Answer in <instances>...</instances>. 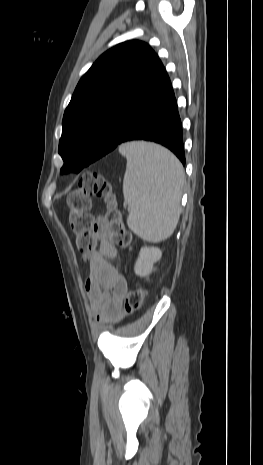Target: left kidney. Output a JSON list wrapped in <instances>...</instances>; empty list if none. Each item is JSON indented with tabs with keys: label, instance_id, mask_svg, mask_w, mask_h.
<instances>
[{
	"label": "left kidney",
	"instance_id": "1",
	"mask_svg": "<svg viewBox=\"0 0 263 465\" xmlns=\"http://www.w3.org/2000/svg\"><path fill=\"white\" fill-rule=\"evenodd\" d=\"M161 251L156 247H142L136 261L134 271L144 277L151 273L153 264L161 258Z\"/></svg>",
	"mask_w": 263,
	"mask_h": 465
}]
</instances>
